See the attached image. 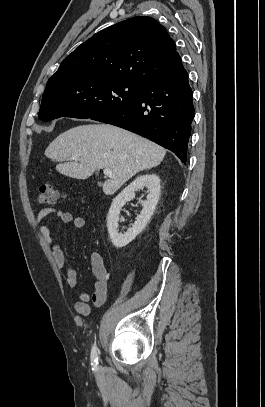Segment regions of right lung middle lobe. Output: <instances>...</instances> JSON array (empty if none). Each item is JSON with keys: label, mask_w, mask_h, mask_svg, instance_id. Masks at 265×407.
I'll return each mask as SVG.
<instances>
[{"label": "right lung middle lobe", "mask_w": 265, "mask_h": 407, "mask_svg": "<svg viewBox=\"0 0 265 407\" xmlns=\"http://www.w3.org/2000/svg\"><path fill=\"white\" fill-rule=\"evenodd\" d=\"M142 88L143 85L135 82L99 77L52 81L47 83L39 119L93 118L131 104Z\"/></svg>", "instance_id": "right-lung-middle-lobe-1"}]
</instances>
